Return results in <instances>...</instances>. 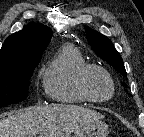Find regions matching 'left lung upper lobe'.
<instances>
[{
	"label": "left lung upper lobe",
	"instance_id": "obj_1",
	"mask_svg": "<svg viewBox=\"0 0 144 137\" xmlns=\"http://www.w3.org/2000/svg\"><path fill=\"white\" fill-rule=\"evenodd\" d=\"M86 36L94 52L103 60L112 65L122 76H127L122 57L117 52L112 42L104 35L85 27Z\"/></svg>",
	"mask_w": 144,
	"mask_h": 137
}]
</instances>
